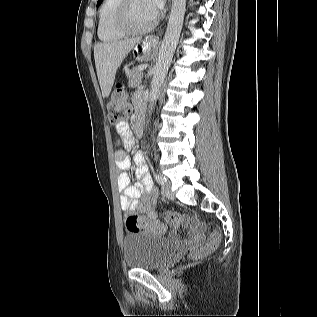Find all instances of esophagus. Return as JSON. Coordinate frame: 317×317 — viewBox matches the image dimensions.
Wrapping results in <instances>:
<instances>
[{"instance_id": "esophagus-1", "label": "esophagus", "mask_w": 317, "mask_h": 317, "mask_svg": "<svg viewBox=\"0 0 317 317\" xmlns=\"http://www.w3.org/2000/svg\"><path fill=\"white\" fill-rule=\"evenodd\" d=\"M147 40L148 41H155V38L153 36H150Z\"/></svg>"}]
</instances>
